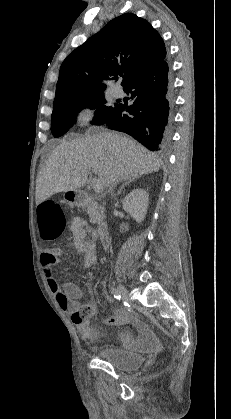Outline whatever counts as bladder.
Segmentation results:
<instances>
[{
	"instance_id": "obj_1",
	"label": "bladder",
	"mask_w": 231,
	"mask_h": 419,
	"mask_svg": "<svg viewBox=\"0 0 231 419\" xmlns=\"http://www.w3.org/2000/svg\"><path fill=\"white\" fill-rule=\"evenodd\" d=\"M97 357L122 371L137 369L144 363V356L131 353L114 346H103L97 352Z\"/></svg>"
}]
</instances>
